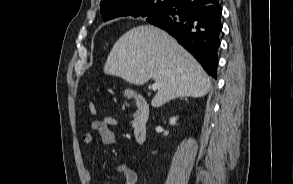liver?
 Instances as JSON below:
<instances>
[{"mask_svg":"<svg viewBox=\"0 0 293 184\" xmlns=\"http://www.w3.org/2000/svg\"><path fill=\"white\" fill-rule=\"evenodd\" d=\"M104 73L135 85L152 78L159 84L153 107L178 97H203L211 88V78L196 59L153 25H140L124 33L109 53Z\"/></svg>","mask_w":293,"mask_h":184,"instance_id":"liver-1","label":"liver"}]
</instances>
